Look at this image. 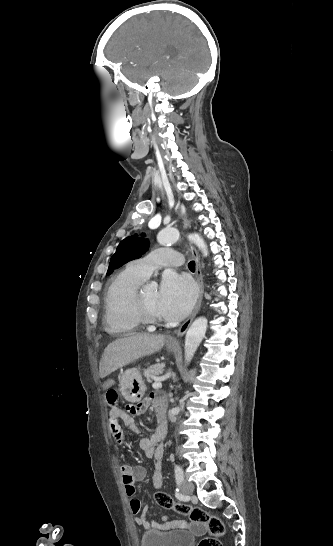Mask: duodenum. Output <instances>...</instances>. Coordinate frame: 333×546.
Returning a JSON list of instances; mask_svg holds the SVG:
<instances>
[{
  "mask_svg": "<svg viewBox=\"0 0 333 546\" xmlns=\"http://www.w3.org/2000/svg\"><path fill=\"white\" fill-rule=\"evenodd\" d=\"M163 427V422L161 419L158 420V426H157V430H161Z\"/></svg>",
  "mask_w": 333,
  "mask_h": 546,
  "instance_id": "obj_1",
  "label": "duodenum"
}]
</instances>
